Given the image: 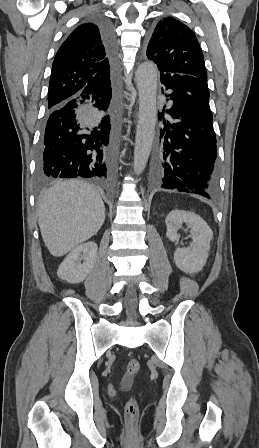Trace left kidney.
<instances>
[{
    "label": "left kidney",
    "mask_w": 259,
    "mask_h": 448,
    "mask_svg": "<svg viewBox=\"0 0 259 448\" xmlns=\"http://www.w3.org/2000/svg\"><path fill=\"white\" fill-rule=\"evenodd\" d=\"M166 236L170 242H177L180 238L177 234L182 224H187L191 228V238L193 244L190 248H176L174 262L185 274H197L203 270L210 250V242L213 238V232L203 218L194 214V212H184V210H172L166 220Z\"/></svg>",
    "instance_id": "left-kidney-1"
}]
</instances>
